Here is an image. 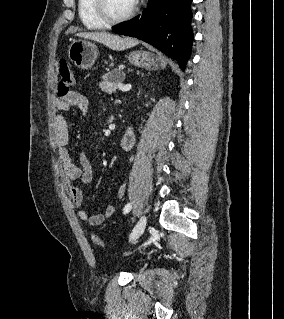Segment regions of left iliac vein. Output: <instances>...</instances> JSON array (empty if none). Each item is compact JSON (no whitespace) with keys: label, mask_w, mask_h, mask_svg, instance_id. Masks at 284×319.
Returning <instances> with one entry per match:
<instances>
[{"label":"left iliac vein","mask_w":284,"mask_h":319,"mask_svg":"<svg viewBox=\"0 0 284 319\" xmlns=\"http://www.w3.org/2000/svg\"><path fill=\"white\" fill-rule=\"evenodd\" d=\"M147 225V218L145 215H143L139 221L137 222V224L135 225V227L133 228L131 234H130V241L131 242H135L144 232L145 228Z\"/></svg>","instance_id":"4c4485c4"}]
</instances>
